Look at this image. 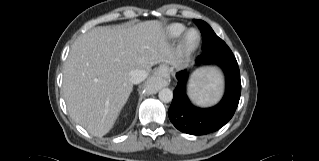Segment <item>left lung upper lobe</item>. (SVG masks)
Segmentation results:
<instances>
[{
	"mask_svg": "<svg viewBox=\"0 0 319 161\" xmlns=\"http://www.w3.org/2000/svg\"><path fill=\"white\" fill-rule=\"evenodd\" d=\"M194 22L198 25L203 37L202 54L198 56L197 62L236 60L227 44L214 33L206 22L202 20H194Z\"/></svg>",
	"mask_w": 319,
	"mask_h": 161,
	"instance_id": "5c2ea615",
	"label": "left lung upper lobe"
}]
</instances>
